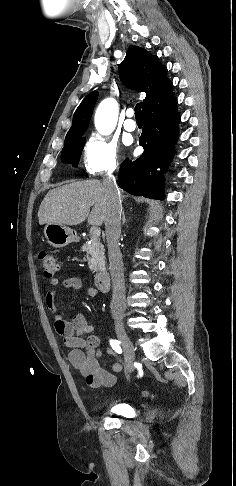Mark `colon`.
Wrapping results in <instances>:
<instances>
[{
	"label": "colon",
	"mask_w": 236,
	"mask_h": 486,
	"mask_svg": "<svg viewBox=\"0 0 236 486\" xmlns=\"http://www.w3.org/2000/svg\"><path fill=\"white\" fill-rule=\"evenodd\" d=\"M39 259L47 278H49L53 283L57 282V273L59 271V262L57 258L47 251H42L39 254ZM145 396L152 397L148 391H144Z\"/></svg>",
	"instance_id": "1"
}]
</instances>
